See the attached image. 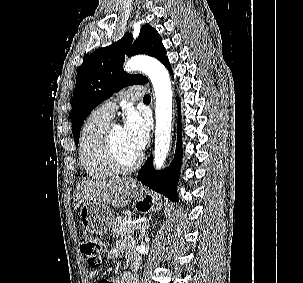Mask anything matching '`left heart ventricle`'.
<instances>
[{
    "instance_id": "1",
    "label": "left heart ventricle",
    "mask_w": 303,
    "mask_h": 283,
    "mask_svg": "<svg viewBox=\"0 0 303 283\" xmlns=\"http://www.w3.org/2000/svg\"><path fill=\"white\" fill-rule=\"evenodd\" d=\"M113 140L120 161L124 164L132 163L138 153H136L128 144L120 125H115L113 128Z\"/></svg>"
}]
</instances>
